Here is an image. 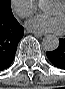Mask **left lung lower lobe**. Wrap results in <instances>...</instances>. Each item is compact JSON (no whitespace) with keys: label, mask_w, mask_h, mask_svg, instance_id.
Returning <instances> with one entry per match:
<instances>
[{"label":"left lung lower lobe","mask_w":65,"mask_h":89,"mask_svg":"<svg viewBox=\"0 0 65 89\" xmlns=\"http://www.w3.org/2000/svg\"><path fill=\"white\" fill-rule=\"evenodd\" d=\"M50 62L60 68L65 69V38L59 39V46L56 50L46 53Z\"/></svg>","instance_id":"1"}]
</instances>
